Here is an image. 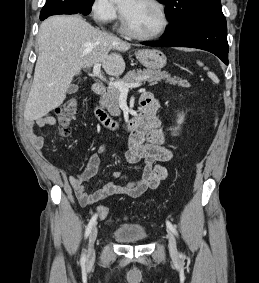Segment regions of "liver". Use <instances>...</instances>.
<instances>
[{
    "instance_id": "obj_1",
    "label": "liver",
    "mask_w": 259,
    "mask_h": 283,
    "mask_svg": "<svg viewBox=\"0 0 259 283\" xmlns=\"http://www.w3.org/2000/svg\"><path fill=\"white\" fill-rule=\"evenodd\" d=\"M38 45L34 79L24 110L26 121L40 119L59 107L73 78L83 68L100 63L108 75H121L125 62L116 51L131 47L79 15H57L43 21Z\"/></svg>"
}]
</instances>
